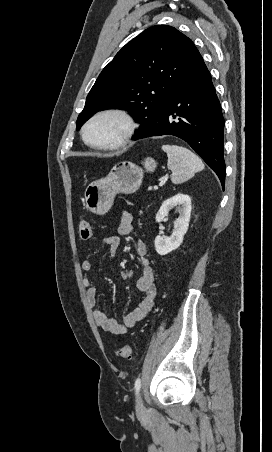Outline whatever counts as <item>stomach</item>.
Masks as SVG:
<instances>
[{
	"label": "stomach",
	"instance_id": "stomach-1",
	"mask_svg": "<svg viewBox=\"0 0 272 452\" xmlns=\"http://www.w3.org/2000/svg\"><path fill=\"white\" fill-rule=\"evenodd\" d=\"M147 172H154L157 163L151 158L143 162ZM144 170L130 161H123L111 169L105 178L91 182L84 191L86 208L92 213L103 215L113 205L116 194H132L136 192L143 179Z\"/></svg>",
	"mask_w": 272,
	"mask_h": 452
}]
</instances>
